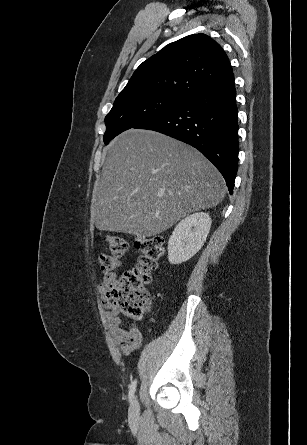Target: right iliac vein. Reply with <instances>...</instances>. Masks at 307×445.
I'll use <instances>...</instances> for the list:
<instances>
[{"instance_id":"right-iliac-vein-1","label":"right iliac vein","mask_w":307,"mask_h":445,"mask_svg":"<svg viewBox=\"0 0 307 445\" xmlns=\"http://www.w3.org/2000/svg\"><path fill=\"white\" fill-rule=\"evenodd\" d=\"M138 416H139V403L137 398L135 397L130 406L129 417L132 421H135L137 420Z\"/></svg>"}]
</instances>
